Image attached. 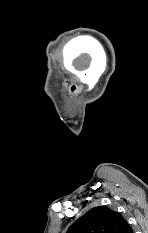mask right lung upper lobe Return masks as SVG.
<instances>
[{"instance_id": "right-lung-upper-lobe-1", "label": "right lung upper lobe", "mask_w": 148, "mask_h": 233, "mask_svg": "<svg viewBox=\"0 0 148 233\" xmlns=\"http://www.w3.org/2000/svg\"><path fill=\"white\" fill-rule=\"evenodd\" d=\"M67 233H133V231L119 213L99 206L76 220Z\"/></svg>"}]
</instances>
